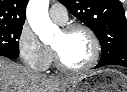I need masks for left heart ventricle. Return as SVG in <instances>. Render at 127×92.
I'll return each mask as SVG.
<instances>
[{
    "label": "left heart ventricle",
    "mask_w": 127,
    "mask_h": 92,
    "mask_svg": "<svg viewBox=\"0 0 127 92\" xmlns=\"http://www.w3.org/2000/svg\"><path fill=\"white\" fill-rule=\"evenodd\" d=\"M52 46L58 50L63 61L74 68L85 65L93 53L91 40L83 30H76L68 34L60 31Z\"/></svg>",
    "instance_id": "1"
}]
</instances>
